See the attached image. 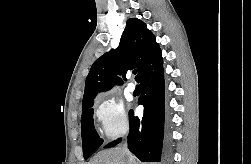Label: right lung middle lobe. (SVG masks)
<instances>
[{
  "label": "right lung middle lobe",
  "mask_w": 251,
  "mask_h": 164,
  "mask_svg": "<svg viewBox=\"0 0 251 164\" xmlns=\"http://www.w3.org/2000/svg\"><path fill=\"white\" fill-rule=\"evenodd\" d=\"M93 102L82 108L81 130L84 159H88L103 143L93 123Z\"/></svg>",
  "instance_id": "1"
}]
</instances>
